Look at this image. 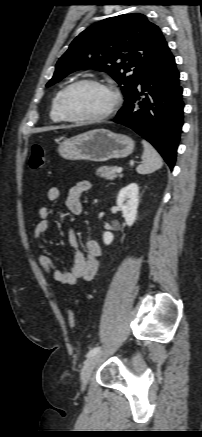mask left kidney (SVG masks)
Listing matches in <instances>:
<instances>
[{
	"label": "left kidney",
	"instance_id": "1",
	"mask_svg": "<svg viewBox=\"0 0 202 437\" xmlns=\"http://www.w3.org/2000/svg\"><path fill=\"white\" fill-rule=\"evenodd\" d=\"M118 207L122 210L127 226H132L136 220L139 204V187L136 183H130L123 187L117 196ZM114 239L111 232H104L103 241L109 245Z\"/></svg>",
	"mask_w": 202,
	"mask_h": 437
}]
</instances>
